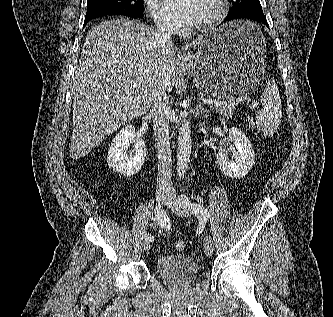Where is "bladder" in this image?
<instances>
[{
    "label": "bladder",
    "instance_id": "obj_1",
    "mask_svg": "<svg viewBox=\"0 0 333 317\" xmlns=\"http://www.w3.org/2000/svg\"><path fill=\"white\" fill-rule=\"evenodd\" d=\"M154 266L159 276L175 282L191 280L199 272L198 263L186 254L160 255Z\"/></svg>",
    "mask_w": 333,
    "mask_h": 317
}]
</instances>
